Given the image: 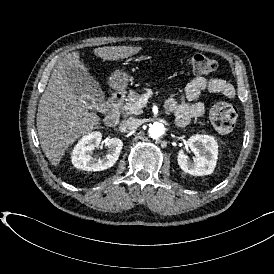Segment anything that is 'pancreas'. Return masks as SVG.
Listing matches in <instances>:
<instances>
[{
	"mask_svg": "<svg viewBox=\"0 0 274 274\" xmlns=\"http://www.w3.org/2000/svg\"><path fill=\"white\" fill-rule=\"evenodd\" d=\"M140 99V95L134 91H130L126 103L121 107L124 115H139L143 113L142 108L137 106V102Z\"/></svg>",
	"mask_w": 274,
	"mask_h": 274,
	"instance_id": "obj_1",
	"label": "pancreas"
}]
</instances>
